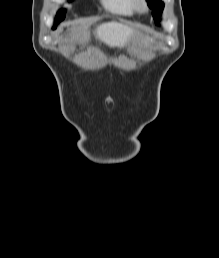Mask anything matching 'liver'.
Returning <instances> with one entry per match:
<instances>
[{"mask_svg": "<svg viewBox=\"0 0 219 258\" xmlns=\"http://www.w3.org/2000/svg\"><path fill=\"white\" fill-rule=\"evenodd\" d=\"M135 30L115 21L102 23L96 28V37L110 47H124L135 34Z\"/></svg>", "mask_w": 219, "mask_h": 258, "instance_id": "1", "label": "liver"}]
</instances>
